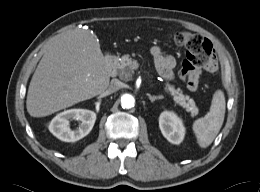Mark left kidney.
Listing matches in <instances>:
<instances>
[{
  "label": "left kidney",
  "mask_w": 260,
  "mask_h": 192,
  "mask_svg": "<svg viewBox=\"0 0 260 192\" xmlns=\"http://www.w3.org/2000/svg\"><path fill=\"white\" fill-rule=\"evenodd\" d=\"M159 128L163 136L172 144H180L185 136L182 119L174 112L164 111L159 117Z\"/></svg>",
  "instance_id": "1"
}]
</instances>
